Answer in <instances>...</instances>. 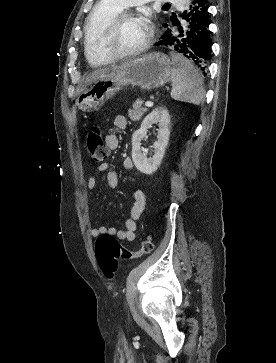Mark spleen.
I'll return each mask as SVG.
<instances>
[{"mask_svg":"<svg viewBox=\"0 0 276 363\" xmlns=\"http://www.w3.org/2000/svg\"><path fill=\"white\" fill-rule=\"evenodd\" d=\"M171 58L173 63L171 97L177 101L200 105L205 94L201 74L183 56L173 53Z\"/></svg>","mask_w":276,"mask_h":363,"instance_id":"3e777b00","label":"spleen"}]
</instances>
